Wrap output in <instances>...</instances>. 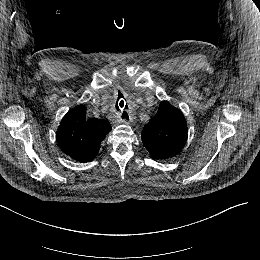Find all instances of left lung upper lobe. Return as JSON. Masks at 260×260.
Here are the masks:
<instances>
[{"label":"left lung upper lobe","instance_id":"obj_1","mask_svg":"<svg viewBox=\"0 0 260 260\" xmlns=\"http://www.w3.org/2000/svg\"><path fill=\"white\" fill-rule=\"evenodd\" d=\"M187 124L181 110L170 103H160L157 114L145 125L143 145L153 159L169 160L183 149L187 139Z\"/></svg>","mask_w":260,"mask_h":260}]
</instances>
